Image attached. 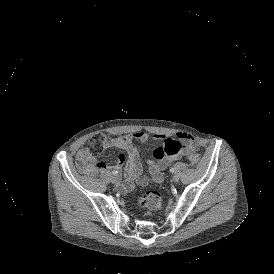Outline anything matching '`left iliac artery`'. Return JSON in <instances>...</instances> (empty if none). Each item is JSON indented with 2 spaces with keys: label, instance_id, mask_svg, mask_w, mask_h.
I'll use <instances>...</instances> for the list:
<instances>
[{
  "label": "left iliac artery",
  "instance_id": "left-iliac-artery-1",
  "mask_svg": "<svg viewBox=\"0 0 274 274\" xmlns=\"http://www.w3.org/2000/svg\"><path fill=\"white\" fill-rule=\"evenodd\" d=\"M170 172H171V173H174V172H175V168H174V167H171V168H170Z\"/></svg>",
  "mask_w": 274,
  "mask_h": 274
}]
</instances>
